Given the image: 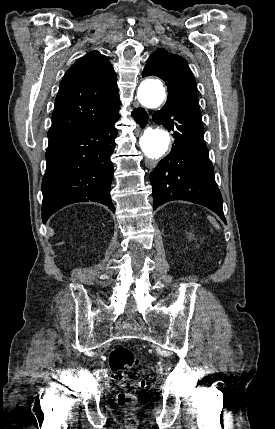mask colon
Here are the masks:
<instances>
[{"label":"colon","mask_w":275,"mask_h":429,"mask_svg":"<svg viewBox=\"0 0 275 429\" xmlns=\"http://www.w3.org/2000/svg\"><path fill=\"white\" fill-rule=\"evenodd\" d=\"M108 363L114 379L120 382L124 388V390L117 395L118 404H133L136 401L135 394L140 392L146 384L143 378L133 379L127 374L129 369L137 365L134 353L126 346L115 347L109 354Z\"/></svg>","instance_id":"1"}]
</instances>
